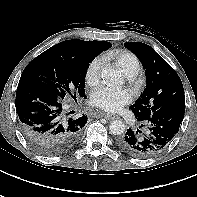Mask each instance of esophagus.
Returning a JSON list of instances; mask_svg holds the SVG:
<instances>
[{
	"instance_id": "1",
	"label": "esophagus",
	"mask_w": 197,
	"mask_h": 197,
	"mask_svg": "<svg viewBox=\"0 0 197 197\" xmlns=\"http://www.w3.org/2000/svg\"><path fill=\"white\" fill-rule=\"evenodd\" d=\"M101 117L106 118L108 120H112L115 119L117 116L114 114H109V113H101L100 114Z\"/></svg>"
}]
</instances>
